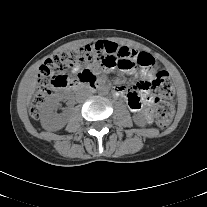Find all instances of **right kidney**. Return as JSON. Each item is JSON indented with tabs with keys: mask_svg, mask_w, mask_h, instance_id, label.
<instances>
[{
	"mask_svg": "<svg viewBox=\"0 0 207 207\" xmlns=\"http://www.w3.org/2000/svg\"><path fill=\"white\" fill-rule=\"evenodd\" d=\"M62 99L63 96L61 94H54L46 103L41 114V125L44 129L59 130L66 125V116L55 112V109Z\"/></svg>",
	"mask_w": 207,
	"mask_h": 207,
	"instance_id": "obj_1",
	"label": "right kidney"
}]
</instances>
